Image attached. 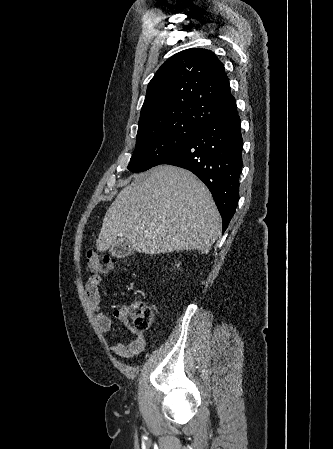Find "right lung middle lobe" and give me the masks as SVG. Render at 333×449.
<instances>
[{
    "mask_svg": "<svg viewBox=\"0 0 333 449\" xmlns=\"http://www.w3.org/2000/svg\"><path fill=\"white\" fill-rule=\"evenodd\" d=\"M200 128L201 126L188 122L170 123L138 134L128 169L142 172L156 166Z\"/></svg>",
    "mask_w": 333,
    "mask_h": 449,
    "instance_id": "obj_1",
    "label": "right lung middle lobe"
}]
</instances>
